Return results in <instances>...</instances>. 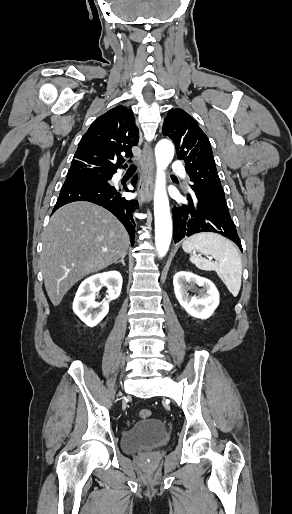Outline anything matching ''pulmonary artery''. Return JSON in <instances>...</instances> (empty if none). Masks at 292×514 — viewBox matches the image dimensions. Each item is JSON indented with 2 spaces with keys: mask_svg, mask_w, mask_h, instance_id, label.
Masks as SVG:
<instances>
[{
  "mask_svg": "<svg viewBox=\"0 0 292 514\" xmlns=\"http://www.w3.org/2000/svg\"><path fill=\"white\" fill-rule=\"evenodd\" d=\"M172 168L175 170V171H180L182 169V164L180 162H175L173 165H172Z\"/></svg>",
  "mask_w": 292,
  "mask_h": 514,
  "instance_id": "obj_1",
  "label": "pulmonary artery"
}]
</instances>
